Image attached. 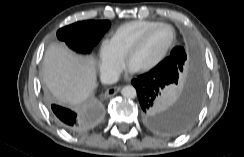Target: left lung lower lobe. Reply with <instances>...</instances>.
Returning <instances> with one entry per match:
<instances>
[{
    "instance_id": "left-lung-lower-lobe-1",
    "label": "left lung lower lobe",
    "mask_w": 244,
    "mask_h": 157,
    "mask_svg": "<svg viewBox=\"0 0 244 157\" xmlns=\"http://www.w3.org/2000/svg\"><path fill=\"white\" fill-rule=\"evenodd\" d=\"M179 79L180 77L169 76L152 69L132 80L142 111L145 113L146 124L159 134L174 136L185 132L200 111L204 81L197 67L189 75L179 100H165L166 94L170 88L178 84Z\"/></svg>"
}]
</instances>
